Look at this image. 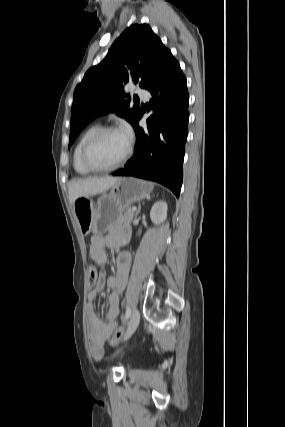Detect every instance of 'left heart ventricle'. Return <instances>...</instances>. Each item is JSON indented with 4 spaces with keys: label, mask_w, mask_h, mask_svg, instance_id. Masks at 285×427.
Listing matches in <instances>:
<instances>
[{
    "label": "left heart ventricle",
    "mask_w": 285,
    "mask_h": 427,
    "mask_svg": "<svg viewBox=\"0 0 285 427\" xmlns=\"http://www.w3.org/2000/svg\"><path fill=\"white\" fill-rule=\"evenodd\" d=\"M128 145L129 141L120 131L107 133L93 147L91 158L97 165H111L125 154Z\"/></svg>",
    "instance_id": "1"
}]
</instances>
